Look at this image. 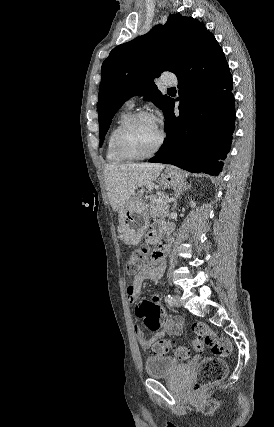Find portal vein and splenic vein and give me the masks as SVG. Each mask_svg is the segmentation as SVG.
I'll list each match as a JSON object with an SVG mask.
<instances>
[{
  "instance_id": "obj_1",
  "label": "portal vein and splenic vein",
  "mask_w": 274,
  "mask_h": 427,
  "mask_svg": "<svg viewBox=\"0 0 274 427\" xmlns=\"http://www.w3.org/2000/svg\"><path fill=\"white\" fill-rule=\"evenodd\" d=\"M173 198H170L169 202H172Z\"/></svg>"
}]
</instances>
